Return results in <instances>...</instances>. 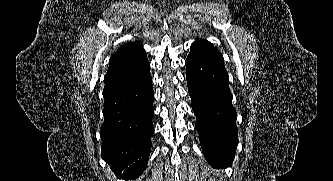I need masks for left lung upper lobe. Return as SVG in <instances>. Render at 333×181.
Returning <instances> with one entry per match:
<instances>
[{
	"mask_svg": "<svg viewBox=\"0 0 333 181\" xmlns=\"http://www.w3.org/2000/svg\"><path fill=\"white\" fill-rule=\"evenodd\" d=\"M193 46L199 47L205 51H207L208 53L223 59L222 54L218 51L217 48H215L210 42L206 41V40H201L198 39L195 43L192 44ZM224 60V59H223Z\"/></svg>",
	"mask_w": 333,
	"mask_h": 181,
	"instance_id": "left-lung-upper-lobe-1",
	"label": "left lung upper lobe"
}]
</instances>
